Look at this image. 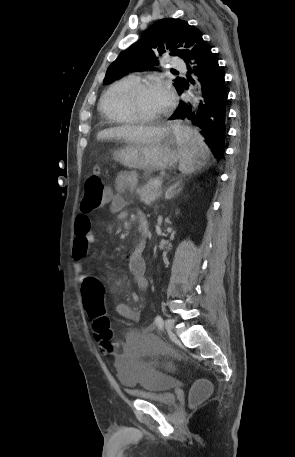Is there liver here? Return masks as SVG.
Returning a JSON list of instances; mask_svg holds the SVG:
<instances>
[{
  "label": "liver",
  "instance_id": "obj_1",
  "mask_svg": "<svg viewBox=\"0 0 295 457\" xmlns=\"http://www.w3.org/2000/svg\"><path fill=\"white\" fill-rule=\"evenodd\" d=\"M165 127L125 125L104 129L97 134L98 140H123L126 143L150 144L163 133Z\"/></svg>",
  "mask_w": 295,
  "mask_h": 457
}]
</instances>
